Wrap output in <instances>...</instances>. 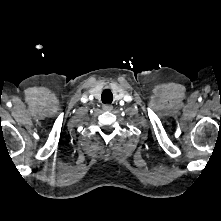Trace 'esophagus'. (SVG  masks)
Segmentation results:
<instances>
[{"label":"esophagus","instance_id":"34e87169","mask_svg":"<svg viewBox=\"0 0 221 221\" xmlns=\"http://www.w3.org/2000/svg\"><path fill=\"white\" fill-rule=\"evenodd\" d=\"M103 110L111 111L112 110V105H109V104L103 105Z\"/></svg>","mask_w":221,"mask_h":221}]
</instances>
